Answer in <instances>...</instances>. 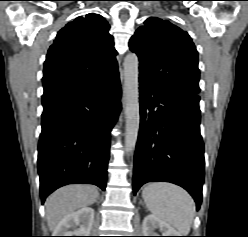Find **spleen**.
<instances>
[{"label": "spleen", "instance_id": "spleen-1", "mask_svg": "<svg viewBox=\"0 0 248 237\" xmlns=\"http://www.w3.org/2000/svg\"><path fill=\"white\" fill-rule=\"evenodd\" d=\"M148 210L187 236L195 214L191 196L179 186L165 182L148 184L142 191Z\"/></svg>", "mask_w": 248, "mask_h": 237}]
</instances>
